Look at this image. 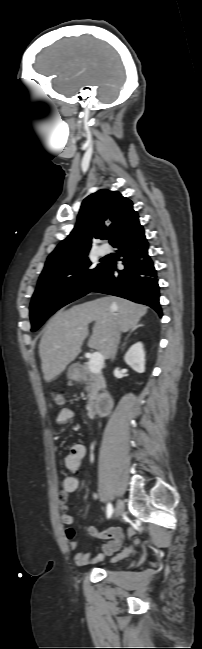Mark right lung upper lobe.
I'll return each instance as SVG.
<instances>
[{
    "instance_id": "1",
    "label": "right lung upper lobe",
    "mask_w": 202,
    "mask_h": 649,
    "mask_svg": "<svg viewBox=\"0 0 202 649\" xmlns=\"http://www.w3.org/2000/svg\"><path fill=\"white\" fill-rule=\"evenodd\" d=\"M141 229L131 200L118 191L99 190L83 200L74 229L48 256L40 278L71 270L94 239L109 236L114 245Z\"/></svg>"
}]
</instances>
